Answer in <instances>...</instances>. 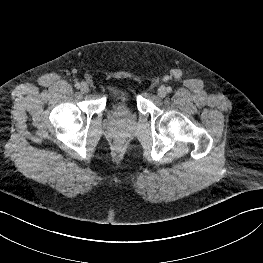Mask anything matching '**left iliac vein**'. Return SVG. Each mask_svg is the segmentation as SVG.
I'll return each instance as SVG.
<instances>
[{
    "label": "left iliac vein",
    "instance_id": "left-iliac-vein-1",
    "mask_svg": "<svg viewBox=\"0 0 263 263\" xmlns=\"http://www.w3.org/2000/svg\"><path fill=\"white\" fill-rule=\"evenodd\" d=\"M158 96L159 97H161V98H163V97H165L166 96V94H167V90H166V88L164 87V86H161L159 89H158Z\"/></svg>",
    "mask_w": 263,
    "mask_h": 263
}]
</instances>
